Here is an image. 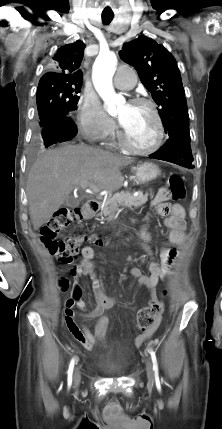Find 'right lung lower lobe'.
Wrapping results in <instances>:
<instances>
[{
    "label": "right lung lower lobe",
    "instance_id": "right-lung-lower-lobe-1",
    "mask_svg": "<svg viewBox=\"0 0 222 429\" xmlns=\"http://www.w3.org/2000/svg\"><path fill=\"white\" fill-rule=\"evenodd\" d=\"M76 134L77 127L70 116L54 118L42 127V138L46 148L55 143L71 140Z\"/></svg>",
    "mask_w": 222,
    "mask_h": 429
}]
</instances>
